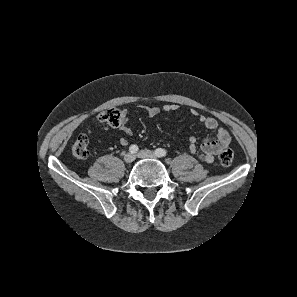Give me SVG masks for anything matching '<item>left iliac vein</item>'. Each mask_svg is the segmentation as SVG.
I'll return each mask as SVG.
<instances>
[{"label":"left iliac vein","instance_id":"obj_1","mask_svg":"<svg viewBox=\"0 0 297 297\" xmlns=\"http://www.w3.org/2000/svg\"><path fill=\"white\" fill-rule=\"evenodd\" d=\"M137 157L139 158H157V155L152 152L151 150H141L138 154Z\"/></svg>","mask_w":297,"mask_h":297}]
</instances>
